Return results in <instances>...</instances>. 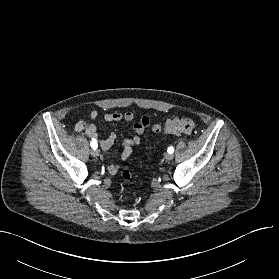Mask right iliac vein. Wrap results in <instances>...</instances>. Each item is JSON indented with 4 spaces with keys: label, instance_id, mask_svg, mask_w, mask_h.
<instances>
[{
    "label": "right iliac vein",
    "instance_id": "obj_1",
    "mask_svg": "<svg viewBox=\"0 0 279 279\" xmlns=\"http://www.w3.org/2000/svg\"><path fill=\"white\" fill-rule=\"evenodd\" d=\"M99 150L98 149H93L92 151H91V155L93 156V157H98L99 156Z\"/></svg>",
    "mask_w": 279,
    "mask_h": 279
}]
</instances>
